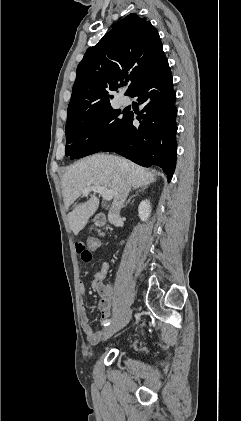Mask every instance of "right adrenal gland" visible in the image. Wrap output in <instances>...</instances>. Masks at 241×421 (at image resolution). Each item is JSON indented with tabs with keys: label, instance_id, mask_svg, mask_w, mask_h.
<instances>
[{
	"label": "right adrenal gland",
	"instance_id": "1",
	"mask_svg": "<svg viewBox=\"0 0 241 421\" xmlns=\"http://www.w3.org/2000/svg\"><path fill=\"white\" fill-rule=\"evenodd\" d=\"M147 187H144V188H142V189H139V190H137L136 192H135V194H133L128 200H127V202L123 205V208H125L129 203H130V201L134 198V197H136L140 192H142L143 190H145Z\"/></svg>",
	"mask_w": 241,
	"mask_h": 421
}]
</instances>
